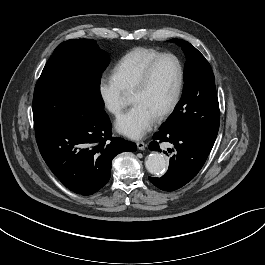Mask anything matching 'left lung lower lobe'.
Returning <instances> with one entry per match:
<instances>
[{
	"mask_svg": "<svg viewBox=\"0 0 265 265\" xmlns=\"http://www.w3.org/2000/svg\"><path fill=\"white\" fill-rule=\"evenodd\" d=\"M149 144L150 150L161 152L159 144L169 142L173 149H168L170 158L168 171L162 177H149V181L164 191H174L191 181L204 165L211 147L197 136L183 131H159L154 134ZM166 153V152H165Z\"/></svg>",
	"mask_w": 265,
	"mask_h": 265,
	"instance_id": "1",
	"label": "left lung lower lobe"
}]
</instances>
